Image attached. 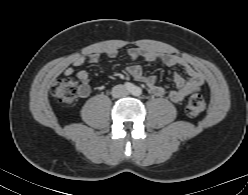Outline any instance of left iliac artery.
<instances>
[{"mask_svg":"<svg viewBox=\"0 0 248 195\" xmlns=\"http://www.w3.org/2000/svg\"><path fill=\"white\" fill-rule=\"evenodd\" d=\"M134 94L135 95H140L141 94V89L136 87L135 90H134Z\"/></svg>","mask_w":248,"mask_h":195,"instance_id":"left-iliac-artery-1","label":"left iliac artery"}]
</instances>
